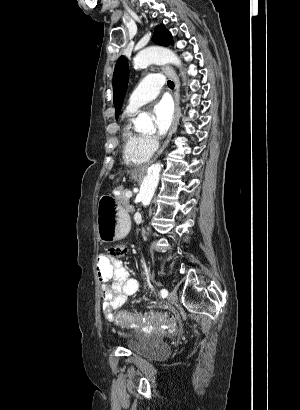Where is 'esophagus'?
Listing matches in <instances>:
<instances>
[{"label": "esophagus", "instance_id": "esophagus-1", "mask_svg": "<svg viewBox=\"0 0 300 410\" xmlns=\"http://www.w3.org/2000/svg\"><path fill=\"white\" fill-rule=\"evenodd\" d=\"M162 70L167 76H169L173 80L174 85H175V89H174L175 114H174V119H173L172 125L170 127L168 136H167L166 140L164 141L162 147L158 150L156 156L154 157V159L151 162H153L164 151V149L167 147V145H168V143H169V141L172 137V134L175 131L176 123H177L179 112H180V83H179L178 76H177V74L175 73V71L173 70V68L171 66H168V65L163 66ZM150 163L137 168L135 173L143 174L146 171L147 167L150 165Z\"/></svg>", "mask_w": 300, "mask_h": 410}]
</instances>
